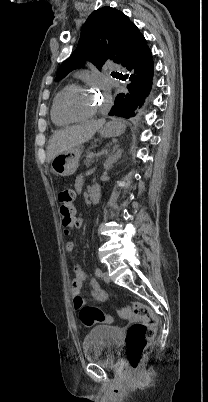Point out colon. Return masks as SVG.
<instances>
[{
	"label": "colon",
	"mask_w": 208,
	"mask_h": 402,
	"mask_svg": "<svg viewBox=\"0 0 208 402\" xmlns=\"http://www.w3.org/2000/svg\"><path fill=\"white\" fill-rule=\"evenodd\" d=\"M75 195V190L71 187L63 188L58 194L61 226L66 233L72 231L78 222L74 209ZM76 305L79 308V319L87 328H91L96 324L114 321V317L111 314L102 311L96 306L85 305L81 297L78 298ZM134 310L136 315L144 319L143 323L127 324L126 326L128 362L131 365H136L141 361L148 341L154 334V328L158 326V319L152 318L147 308L134 304ZM133 370L137 371L138 367L134 366Z\"/></svg>",
	"instance_id": "1"
}]
</instances>
